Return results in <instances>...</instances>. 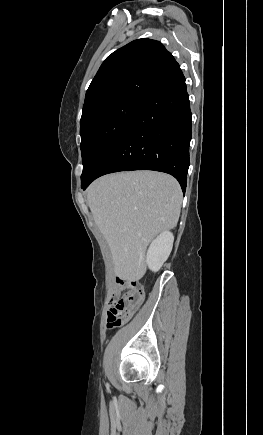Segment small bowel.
<instances>
[{
  "label": "small bowel",
  "mask_w": 263,
  "mask_h": 435,
  "mask_svg": "<svg viewBox=\"0 0 263 435\" xmlns=\"http://www.w3.org/2000/svg\"><path fill=\"white\" fill-rule=\"evenodd\" d=\"M118 295H119V291L116 290V291L114 292L113 296H112V299L110 300L109 307H110V306L112 305V303L116 300V298L118 297Z\"/></svg>",
  "instance_id": "c3829d8e"
}]
</instances>
